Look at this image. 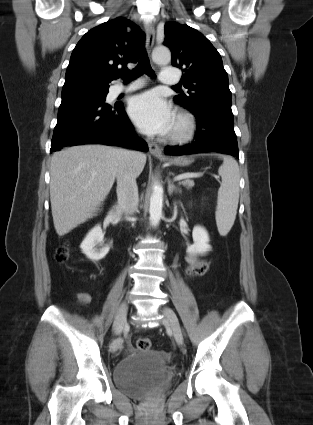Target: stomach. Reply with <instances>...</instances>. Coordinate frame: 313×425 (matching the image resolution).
Returning <instances> with one entry per match:
<instances>
[{"mask_svg":"<svg viewBox=\"0 0 313 425\" xmlns=\"http://www.w3.org/2000/svg\"><path fill=\"white\" fill-rule=\"evenodd\" d=\"M169 161L178 166H187L192 162V160L187 157H176L169 159Z\"/></svg>","mask_w":313,"mask_h":425,"instance_id":"1","label":"stomach"}]
</instances>
